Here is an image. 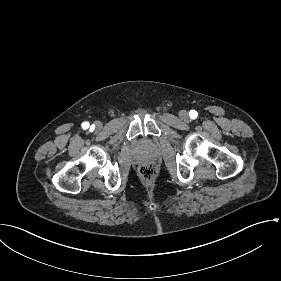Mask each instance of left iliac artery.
<instances>
[{"label": "left iliac artery", "mask_w": 281, "mask_h": 281, "mask_svg": "<svg viewBox=\"0 0 281 281\" xmlns=\"http://www.w3.org/2000/svg\"><path fill=\"white\" fill-rule=\"evenodd\" d=\"M191 119H195L198 116V113L195 110H191L189 113Z\"/></svg>", "instance_id": "44dca946"}]
</instances>
